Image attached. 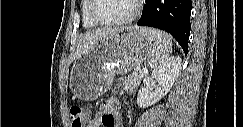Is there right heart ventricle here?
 Here are the masks:
<instances>
[{
  "label": "right heart ventricle",
  "instance_id": "e07e8e85",
  "mask_svg": "<svg viewBox=\"0 0 243 127\" xmlns=\"http://www.w3.org/2000/svg\"><path fill=\"white\" fill-rule=\"evenodd\" d=\"M90 0H83L81 3V14H82V21L85 28L93 29L96 28L98 25L92 21L89 15L90 10Z\"/></svg>",
  "mask_w": 243,
  "mask_h": 127
}]
</instances>
